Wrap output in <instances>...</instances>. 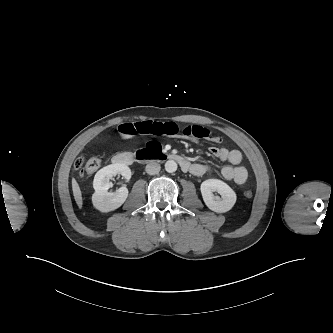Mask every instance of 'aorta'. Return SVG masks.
I'll return each instance as SVG.
<instances>
[{
	"label": "aorta",
	"mask_w": 333,
	"mask_h": 333,
	"mask_svg": "<svg viewBox=\"0 0 333 333\" xmlns=\"http://www.w3.org/2000/svg\"><path fill=\"white\" fill-rule=\"evenodd\" d=\"M165 170L168 173H173L177 170V163L174 160H168L165 163Z\"/></svg>",
	"instance_id": "762f6f07"
}]
</instances>
